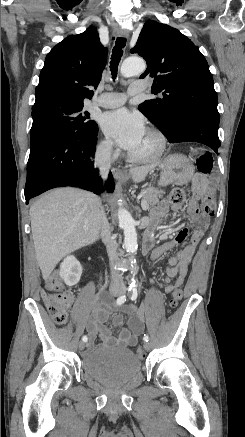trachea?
I'll use <instances>...</instances> for the list:
<instances>
[{"instance_id":"obj_1","label":"trachea","mask_w":245,"mask_h":437,"mask_svg":"<svg viewBox=\"0 0 245 437\" xmlns=\"http://www.w3.org/2000/svg\"><path fill=\"white\" fill-rule=\"evenodd\" d=\"M125 45H126L125 38H117L115 46L112 50V55H111L112 60L110 62L112 79H115L117 77L118 65L123 55V48L125 47Z\"/></svg>"}]
</instances>
